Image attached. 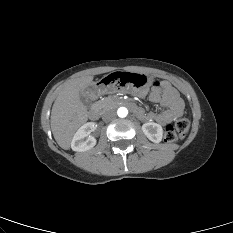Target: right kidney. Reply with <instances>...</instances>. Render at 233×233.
<instances>
[{
	"mask_svg": "<svg viewBox=\"0 0 233 233\" xmlns=\"http://www.w3.org/2000/svg\"><path fill=\"white\" fill-rule=\"evenodd\" d=\"M96 127L97 124L93 122H88L81 126L72 139V150L77 152H83L93 148L96 145L97 141L93 136H90L89 133L90 131L95 130Z\"/></svg>",
	"mask_w": 233,
	"mask_h": 233,
	"instance_id": "1",
	"label": "right kidney"
}]
</instances>
